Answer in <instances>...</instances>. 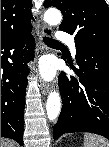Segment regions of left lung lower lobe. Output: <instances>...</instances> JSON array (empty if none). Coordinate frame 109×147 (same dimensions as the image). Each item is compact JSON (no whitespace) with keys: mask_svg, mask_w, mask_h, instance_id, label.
I'll use <instances>...</instances> for the list:
<instances>
[{"mask_svg":"<svg viewBox=\"0 0 109 147\" xmlns=\"http://www.w3.org/2000/svg\"><path fill=\"white\" fill-rule=\"evenodd\" d=\"M76 44L77 77L59 76L62 109L53 128L56 140L65 133L90 132L109 139V50L81 42Z\"/></svg>","mask_w":109,"mask_h":147,"instance_id":"1","label":"left lung lower lobe"}]
</instances>
